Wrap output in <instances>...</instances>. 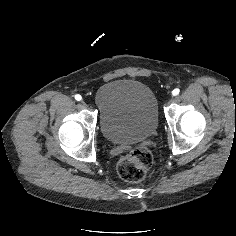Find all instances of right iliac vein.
<instances>
[{"label":"right iliac vein","instance_id":"1","mask_svg":"<svg viewBox=\"0 0 236 236\" xmlns=\"http://www.w3.org/2000/svg\"><path fill=\"white\" fill-rule=\"evenodd\" d=\"M81 104H82L84 107H87L88 110H91V109H92V106H91V105H88L87 102L81 101Z\"/></svg>","mask_w":236,"mask_h":236}]
</instances>
